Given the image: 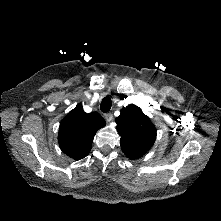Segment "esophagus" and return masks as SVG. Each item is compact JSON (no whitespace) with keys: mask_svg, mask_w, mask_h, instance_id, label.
<instances>
[{"mask_svg":"<svg viewBox=\"0 0 221 221\" xmlns=\"http://www.w3.org/2000/svg\"><path fill=\"white\" fill-rule=\"evenodd\" d=\"M104 118L107 122H110L113 119V115H112V113H106V114H104Z\"/></svg>","mask_w":221,"mask_h":221,"instance_id":"esophagus-1","label":"esophagus"}]
</instances>
